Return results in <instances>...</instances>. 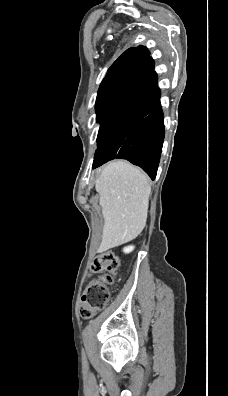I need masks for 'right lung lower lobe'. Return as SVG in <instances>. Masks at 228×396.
<instances>
[{"mask_svg":"<svg viewBox=\"0 0 228 396\" xmlns=\"http://www.w3.org/2000/svg\"><path fill=\"white\" fill-rule=\"evenodd\" d=\"M147 75L129 106L107 134L93 169L112 159H126L155 179L164 140L163 113L154 62H146Z\"/></svg>","mask_w":228,"mask_h":396,"instance_id":"right-lung-lower-lobe-1","label":"right lung lower lobe"}]
</instances>
